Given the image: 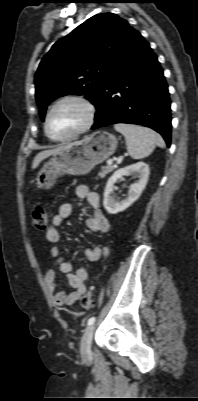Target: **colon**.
<instances>
[{
  "instance_id": "1",
  "label": "colon",
  "mask_w": 198,
  "mask_h": 401,
  "mask_svg": "<svg viewBox=\"0 0 198 401\" xmlns=\"http://www.w3.org/2000/svg\"><path fill=\"white\" fill-rule=\"evenodd\" d=\"M49 222V215L46 209L42 206H37L33 209L31 214V223L32 226L37 229H46ZM93 291H88L82 298H81V305L84 309H89L93 306Z\"/></svg>"
}]
</instances>
